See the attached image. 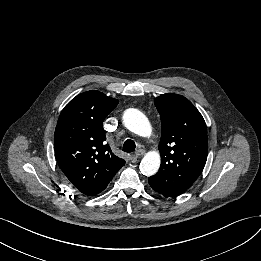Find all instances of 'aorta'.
I'll use <instances>...</instances> for the list:
<instances>
[{
    "label": "aorta",
    "mask_w": 261,
    "mask_h": 261,
    "mask_svg": "<svg viewBox=\"0 0 261 261\" xmlns=\"http://www.w3.org/2000/svg\"><path fill=\"white\" fill-rule=\"evenodd\" d=\"M123 123L128 130L139 136L147 137L152 132L149 120L137 109H127L123 114ZM160 163L161 158L158 152H148L140 163V171L146 176H152L159 170Z\"/></svg>",
    "instance_id": "aorta-1"
}]
</instances>
